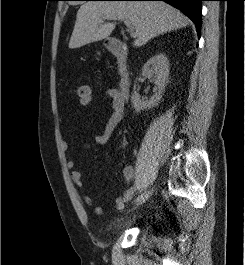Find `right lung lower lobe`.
<instances>
[{
  "mask_svg": "<svg viewBox=\"0 0 245 265\" xmlns=\"http://www.w3.org/2000/svg\"><path fill=\"white\" fill-rule=\"evenodd\" d=\"M117 1H165L183 11L195 24L198 36L201 31L202 4L204 0H117Z\"/></svg>",
  "mask_w": 245,
  "mask_h": 265,
  "instance_id": "98d812e1",
  "label": "right lung lower lobe"
}]
</instances>
